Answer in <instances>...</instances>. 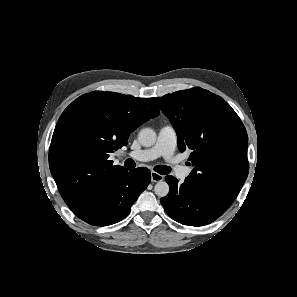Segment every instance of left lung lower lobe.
Returning <instances> with one entry per match:
<instances>
[{
	"mask_svg": "<svg viewBox=\"0 0 297 297\" xmlns=\"http://www.w3.org/2000/svg\"><path fill=\"white\" fill-rule=\"evenodd\" d=\"M169 194L161 199L167 214L175 221L188 226H203L215 221L224 209L200 195L187 183L178 184L173 176H166Z\"/></svg>",
	"mask_w": 297,
	"mask_h": 297,
	"instance_id": "1",
	"label": "left lung lower lobe"
}]
</instances>
